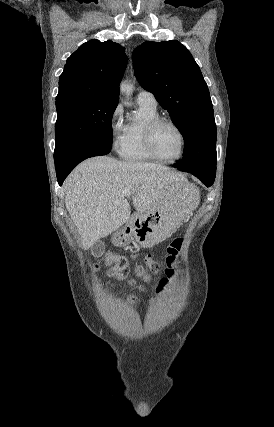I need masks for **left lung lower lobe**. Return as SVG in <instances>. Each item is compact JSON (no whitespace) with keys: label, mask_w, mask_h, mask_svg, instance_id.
<instances>
[{"label":"left lung lower lobe","mask_w":274,"mask_h":427,"mask_svg":"<svg viewBox=\"0 0 274 427\" xmlns=\"http://www.w3.org/2000/svg\"><path fill=\"white\" fill-rule=\"evenodd\" d=\"M174 167L181 171L189 172L200 179L207 187L211 186L215 180V173H201L192 169L184 168L180 164H175Z\"/></svg>","instance_id":"obj_1"}]
</instances>
